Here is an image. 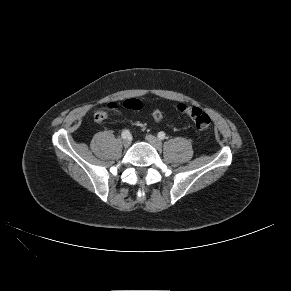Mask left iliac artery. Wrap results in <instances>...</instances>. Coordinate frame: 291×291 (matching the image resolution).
<instances>
[{"label": "left iliac artery", "mask_w": 291, "mask_h": 291, "mask_svg": "<svg viewBox=\"0 0 291 291\" xmlns=\"http://www.w3.org/2000/svg\"><path fill=\"white\" fill-rule=\"evenodd\" d=\"M158 138L161 139V140L164 139L165 138V133L163 131L159 132L158 133Z\"/></svg>", "instance_id": "1"}]
</instances>
